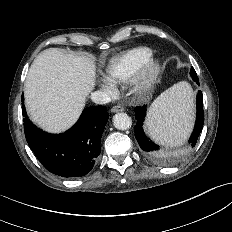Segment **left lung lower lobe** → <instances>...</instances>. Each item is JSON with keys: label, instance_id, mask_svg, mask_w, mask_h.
Instances as JSON below:
<instances>
[{"label": "left lung lower lobe", "instance_id": "left-lung-lower-lobe-1", "mask_svg": "<svg viewBox=\"0 0 232 232\" xmlns=\"http://www.w3.org/2000/svg\"><path fill=\"white\" fill-rule=\"evenodd\" d=\"M190 75L192 79L199 84V80L197 74L192 67L190 70ZM135 117L137 119V123L134 126L135 128V137L140 145L141 149L154 160H159L160 157L155 153L159 149V147L154 144L144 133L143 131V121L146 115V106H138L135 108ZM204 124V112H203V95L201 91H198L197 94V117L195 122V127L192 132V135L189 139V143L194 147L200 132L202 131Z\"/></svg>", "mask_w": 232, "mask_h": 232}]
</instances>
